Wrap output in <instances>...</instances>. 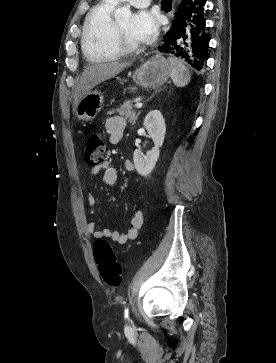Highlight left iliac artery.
Returning a JSON list of instances; mask_svg holds the SVG:
<instances>
[{"mask_svg": "<svg viewBox=\"0 0 276 363\" xmlns=\"http://www.w3.org/2000/svg\"><path fill=\"white\" fill-rule=\"evenodd\" d=\"M125 317L128 318V310H125Z\"/></svg>", "mask_w": 276, "mask_h": 363, "instance_id": "1", "label": "left iliac artery"}]
</instances>
